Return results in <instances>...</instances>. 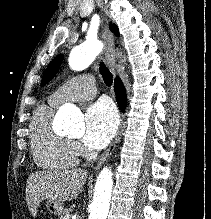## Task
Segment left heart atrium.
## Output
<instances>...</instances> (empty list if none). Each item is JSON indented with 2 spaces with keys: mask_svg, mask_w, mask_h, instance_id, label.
Wrapping results in <instances>:
<instances>
[{
  "mask_svg": "<svg viewBox=\"0 0 211 219\" xmlns=\"http://www.w3.org/2000/svg\"><path fill=\"white\" fill-rule=\"evenodd\" d=\"M118 117L113 105L101 100L88 108L85 114L84 143L90 148H103L113 138Z\"/></svg>",
  "mask_w": 211,
  "mask_h": 219,
  "instance_id": "obj_1",
  "label": "left heart atrium"
}]
</instances>
